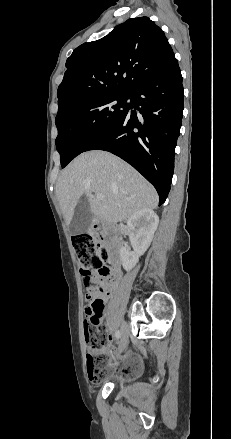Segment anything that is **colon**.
I'll list each match as a JSON object with an SVG mask.
<instances>
[{"label":"colon","mask_w":231,"mask_h":439,"mask_svg":"<svg viewBox=\"0 0 231 439\" xmlns=\"http://www.w3.org/2000/svg\"><path fill=\"white\" fill-rule=\"evenodd\" d=\"M73 247L76 251L79 269L84 278V286L87 290H105L110 277L108 266L109 254L105 247L98 244L90 234H79L72 238ZM95 276L98 282L92 281ZM91 308L96 315H100L104 309L103 303L96 299L91 302ZM85 341L89 347L86 356V365L90 377L95 381L104 380L107 375L106 365L109 360L107 352L94 353L108 344L105 334L98 323L97 317L92 318L85 325Z\"/></svg>","instance_id":"5ec220e1"}]
</instances>
